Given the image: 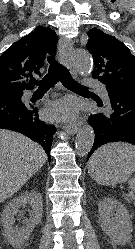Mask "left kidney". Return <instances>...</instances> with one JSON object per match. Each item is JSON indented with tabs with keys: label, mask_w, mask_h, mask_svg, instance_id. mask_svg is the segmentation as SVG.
I'll return each instance as SVG.
<instances>
[{
	"label": "left kidney",
	"mask_w": 135,
	"mask_h": 249,
	"mask_svg": "<svg viewBox=\"0 0 135 249\" xmlns=\"http://www.w3.org/2000/svg\"><path fill=\"white\" fill-rule=\"evenodd\" d=\"M101 228L113 242L124 245L132 238L131 217L123 204L115 198H104L98 203Z\"/></svg>",
	"instance_id": "1"
}]
</instances>
